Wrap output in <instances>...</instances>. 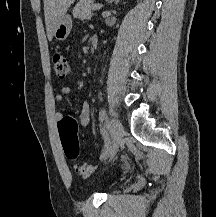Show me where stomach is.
<instances>
[{
	"mask_svg": "<svg viewBox=\"0 0 216 217\" xmlns=\"http://www.w3.org/2000/svg\"><path fill=\"white\" fill-rule=\"evenodd\" d=\"M71 29L72 19L69 15H64L62 19L59 21L53 33V36L56 38V40L64 41L68 37Z\"/></svg>",
	"mask_w": 216,
	"mask_h": 217,
	"instance_id": "stomach-1",
	"label": "stomach"
}]
</instances>
